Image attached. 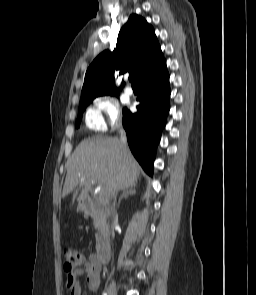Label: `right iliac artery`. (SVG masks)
<instances>
[{"label":"right iliac artery","mask_w":256,"mask_h":295,"mask_svg":"<svg viewBox=\"0 0 256 295\" xmlns=\"http://www.w3.org/2000/svg\"><path fill=\"white\" fill-rule=\"evenodd\" d=\"M103 295H107V293H103Z\"/></svg>","instance_id":"82829eb1"}]
</instances>
